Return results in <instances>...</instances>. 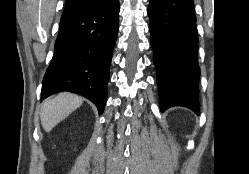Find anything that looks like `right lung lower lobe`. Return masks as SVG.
I'll return each instance as SVG.
<instances>
[{
	"label": "right lung lower lobe",
	"instance_id": "1",
	"mask_svg": "<svg viewBox=\"0 0 249 174\" xmlns=\"http://www.w3.org/2000/svg\"><path fill=\"white\" fill-rule=\"evenodd\" d=\"M119 27V0L62 15L52 61L46 70L41 101L70 91L91 100L102 114L112 52Z\"/></svg>",
	"mask_w": 249,
	"mask_h": 174
}]
</instances>
